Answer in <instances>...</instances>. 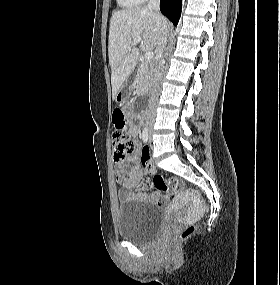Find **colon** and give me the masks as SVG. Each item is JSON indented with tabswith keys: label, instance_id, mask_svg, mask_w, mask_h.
<instances>
[{
	"label": "colon",
	"instance_id": "obj_1",
	"mask_svg": "<svg viewBox=\"0 0 280 285\" xmlns=\"http://www.w3.org/2000/svg\"><path fill=\"white\" fill-rule=\"evenodd\" d=\"M114 129L112 132L114 158L115 161L121 163L124 161L127 153H130L134 149V143L131 137L123 130L125 123L124 113L121 109H116L113 113ZM150 159L149 150L147 148L142 150L141 160L145 161ZM155 185L162 190H171L173 192H179L184 188V183L175 178H164L161 175L154 176ZM195 232L193 225L184 227L177 235L169 239V243L175 245L180 241L188 238Z\"/></svg>",
	"mask_w": 280,
	"mask_h": 285
}]
</instances>
